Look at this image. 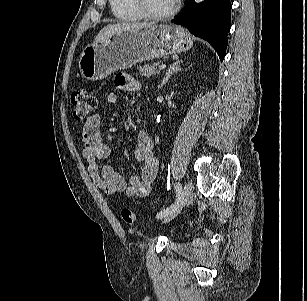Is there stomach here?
Segmentation results:
<instances>
[{
    "label": "stomach",
    "mask_w": 307,
    "mask_h": 301,
    "mask_svg": "<svg viewBox=\"0 0 307 301\" xmlns=\"http://www.w3.org/2000/svg\"><path fill=\"white\" fill-rule=\"evenodd\" d=\"M192 37L182 27L153 25L115 32L101 42L88 45L79 59V70L87 80L97 81L143 60L189 50Z\"/></svg>",
    "instance_id": "1"
}]
</instances>
